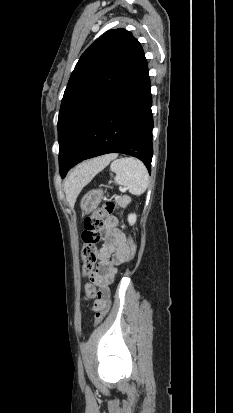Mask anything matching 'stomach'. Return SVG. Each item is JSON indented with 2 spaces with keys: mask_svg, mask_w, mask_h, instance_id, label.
Here are the masks:
<instances>
[{
  "mask_svg": "<svg viewBox=\"0 0 233 413\" xmlns=\"http://www.w3.org/2000/svg\"><path fill=\"white\" fill-rule=\"evenodd\" d=\"M103 199V191L92 190L85 194L81 200V209L85 214H89L97 209Z\"/></svg>",
  "mask_w": 233,
  "mask_h": 413,
  "instance_id": "obj_1",
  "label": "stomach"
}]
</instances>
